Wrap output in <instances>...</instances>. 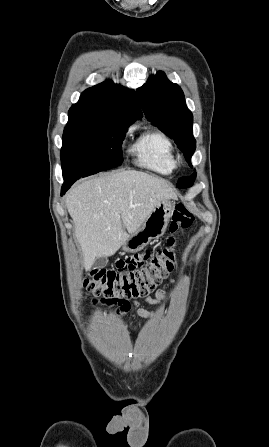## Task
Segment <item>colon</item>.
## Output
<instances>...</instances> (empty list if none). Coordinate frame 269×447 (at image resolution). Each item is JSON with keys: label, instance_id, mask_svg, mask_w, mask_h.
Segmentation results:
<instances>
[{"label": "colon", "instance_id": "colon-1", "mask_svg": "<svg viewBox=\"0 0 269 447\" xmlns=\"http://www.w3.org/2000/svg\"><path fill=\"white\" fill-rule=\"evenodd\" d=\"M193 220L194 215L183 204L177 205L168 225L167 243L173 245L172 236L189 227ZM177 262L173 248L160 249L155 254L148 251L127 253L126 257H117L115 266H107L106 270L100 266L94 267L84 280L83 298L87 300L92 294L105 295L102 298L104 303H114L119 312H124L129 303L121 301V298H141L151 294L168 277Z\"/></svg>", "mask_w": 269, "mask_h": 447}]
</instances>
